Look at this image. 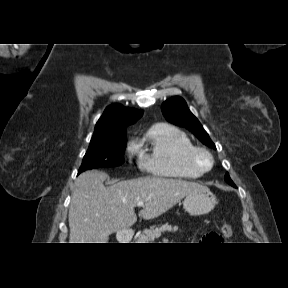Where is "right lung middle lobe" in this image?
<instances>
[{"instance_id":"1","label":"right lung middle lobe","mask_w":288,"mask_h":288,"mask_svg":"<svg viewBox=\"0 0 288 288\" xmlns=\"http://www.w3.org/2000/svg\"><path fill=\"white\" fill-rule=\"evenodd\" d=\"M126 133L91 140L78 173L99 167H115L124 163Z\"/></svg>"}]
</instances>
